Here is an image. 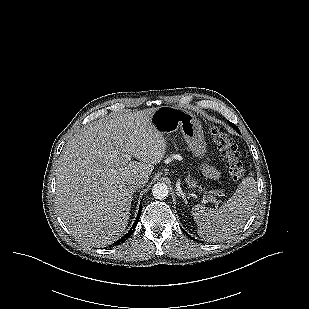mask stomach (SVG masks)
Listing matches in <instances>:
<instances>
[{"label":"stomach","mask_w":309,"mask_h":309,"mask_svg":"<svg viewBox=\"0 0 309 309\" xmlns=\"http://www.w3.org/2000/svg\"><path fill=\"white\" fill-rule=\"evenodd\" d=\"M150 124L164 136L181 131L194 157L202 158L206 143L199 120L191 112L172 106H162L153 111ZM193 184L194 181H192Z\"/></svg>","instance_id":"1"}]
</instances>
